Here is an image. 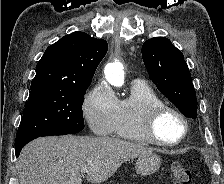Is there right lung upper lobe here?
Returning a JSON list of instances; mask_svg holds the SVG:
<instances>
[{
	"mask_svg": "<svg viewBox=\"0 0 224 184\" xmlns=\"http://www.w3.org/2000/svg\"><path fill=\"white\" fill-rule=\"evenodd\" d=\"M108 44L84 32H73L50 45L37 64L31 89L90 85Z\"/></svg>",
	"mask_w": 224,
	"mask_h": 184,
	"instance_id": "right-lung-upper-lobe-1",
	"label": "right lung upper lobe"
}]
</instances>
